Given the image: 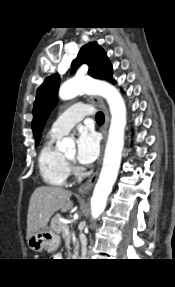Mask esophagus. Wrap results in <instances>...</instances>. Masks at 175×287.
Here are the masks:
<instances>
[{"mask_svg":"<svg viewBox=\"0 0 175 287\" xmlns=\"http://www.w3.org/2000/svg\"><path fill=\"white\" fill-rule=\"evenodd\" d=\"M92 101L97 104L103 111L104 116H105V121L103 126L101 127V132L103 133L104 136V140H103V145H102V153H103V149H104V144L106 142L107 139V128H108V124H109V112L108 109L104 103V101L98 97V96H92L91 97ZM102 161V155L101 158L99 159V163H98V168L95 170V172H93V174L78 188V192L79 193H83L86 194L88 193L94 186L98 174H99V166L101 164Z\"/></svg>","mask_w":175,"mask_h":287,"instance_id":"obj_1","label":"esophagus"}]
</instances>
